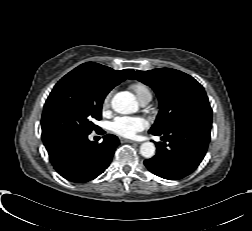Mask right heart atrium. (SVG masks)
<instances>
[{
    "mask_svg": "<svg viewBox=\"0 0 252 231\" xmlns=\"http://www.w3.org/2000/svg\"><path fill=\"white\" fill-rule=\"evenodd\" d=\"M112 95H113V90L109 91L104 96L103 101H102V109H103V111H106V110L109 109Z\"/></svg>",
    "mask_w": 252,
    "mask_h": 231,
    "instance_id": "d8ad5b80",
    "label": "right heart atrium"
}]
</instances>
